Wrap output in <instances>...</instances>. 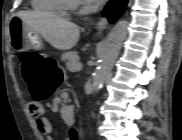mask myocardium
Returning <instances> with one entry per match:
<instances>
[{
  "instance_id": "obj_1",
  "label": "myocardium",
  "mask_w": 182,
  "mask_h": 140,
  "mask_svg": "<svg viewBox=\"0 0 182 140\" xmlns=\"http://www.w3.org/2000/svg\"><path fill=\"white\" fill-rule=\"evenodd\" d=\"M68 8L75 9L76 8V4L74 2H70L69 1Z\"/></svg>"
}]
</instances>
